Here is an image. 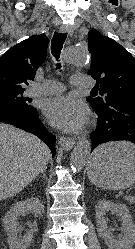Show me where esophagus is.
<instances>
[{
    "label": "esophagus",
    "mask_w": 135,
    "mask_h": 249,
    "mask_svg": "<svg viewBox=\"0 0 135 249\" xmlns=\"http://www.w3.org/2000/svg\"><path fill=\"white\" fill-rule=\"evenodd\" d=\"M59 31L61 33H67L69 36H72V34H73V30H72L71 26H69V25H61L59 28ZM74 144H75L74 138L60 137V139H59L60 147L66 151L72 149Z\"/></svg>",
    "instance_id": "esophagus-1"
}]
</instances>
